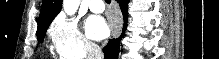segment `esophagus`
<instances>
[{
	"label": "esophagus",
	"instance_id": "1",
	"mask_svg": "<svg viewBox=\"0 0 219 59\" xmlns=\"http://www.w3.org/2000/svg\"><path fill=\"white\" fill-rule=\"evenodd\" d=\"M111 35L113 37H118L120 35V29H112Z\"/></svg>",
	"mask_w": 219,
	"mask_h": 59
}]
</instances>
